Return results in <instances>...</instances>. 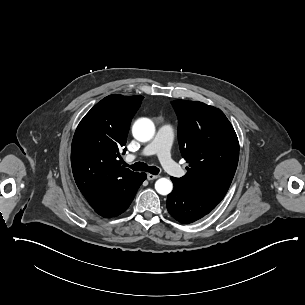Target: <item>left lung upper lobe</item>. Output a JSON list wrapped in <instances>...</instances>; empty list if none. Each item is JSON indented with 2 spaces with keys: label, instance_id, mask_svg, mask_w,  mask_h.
Masks as SVG:
<instances>
[{
  "label": "left lung upper lobe",
  "instance_id": "5c2ea615",
  "mask_svg": "<svg viewBox=\"0 0 305 305\" xmlns=\"http://www.w3.org/2000/svg\"><path fill=\"white\" fill-rule=\"evenodd\" d=\"M178 141L188 172L175 178L188 191L223 199L234 177L238 158L237 135L218 108L202 102L175 100Z\"/></svg>",
  "mask_w": 305,
  "mask_h": 305
}]
</instances>
